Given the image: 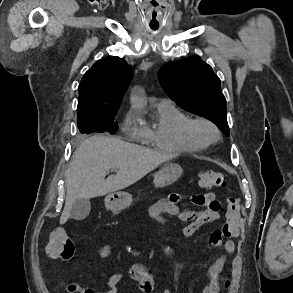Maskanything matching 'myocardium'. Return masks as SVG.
Masks as SVG:
<instances>
[{"label":"myocardium","instance_id":"obj_1","mask_svg":"<svg viewBox=\"0 0 293 293\" xmlns=\"http://www.w3.org/2000/svg\"><path fill=\"white\" fill-rule=\"evenodd\" d=\"M203 125L209 128L211 135L201 137L197 134V127ZM185 132L188 140L199 148H204L215 142L220 137V131L217 125L205 117L190 118L186 124Z\"/></svg>","mask_w":293,"mask_h":293}]
</instances>
